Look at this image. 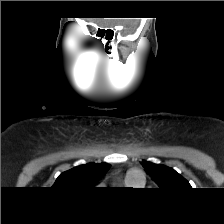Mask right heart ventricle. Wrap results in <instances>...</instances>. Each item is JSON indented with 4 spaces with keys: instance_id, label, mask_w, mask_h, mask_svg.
<instances>
[{
    "instance_id": "e07e8e85",
    "label": "right heart ventricle",
    "mask_w": 224,
    "mask_h": 224,
    "mask_svg": "<svg viewBox=\"0 0 224 224\" xmlns=\"http://www.w3.org/2000/svg\"><path fill=\"white\" fill-rule=\"evenodd\" d=\"M128 184H129V185H137V183H134V182H131V181L128 182Z\"/></svg>"
}]
</instances>
